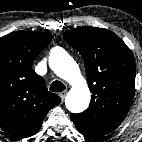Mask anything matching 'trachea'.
Masks as SVG:
<instances>
[{
	"instance_id": "1",
	"label": "trachea",
	"mask_w": 142,
	"mask_h": 142,
	"mask_svg": "<svg viewBox=\"0 0 142 142\" xmlns=\"http://www.w3.org/2000/svg\"><path fill=\"white\" fill-rule=\"evenodd\" d=\"M49 89L52 92H61V91L65 90V85L61 81L56 80V81L52 82Z\"/></svg>"
}]
</instances>
